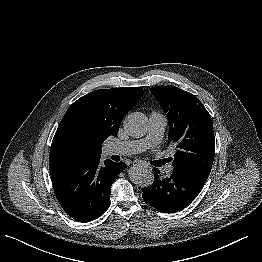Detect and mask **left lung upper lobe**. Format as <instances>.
<instances>
[{
	"instance_id": "1",
	"label": "left lung upper lobe",
	"mask_w": 262,
	"mask_h": 262,
	"mask_svg": "<svg viewBox=\"0 0 262 262\" xmlns=\"http://www.w3.org/2000/svg\"><path fill=\"white\" fill-rule=\"evenodd\" d=\"M150 92L167 113L168 141L177 147L171 158L174 170L207 180L215 154L210 114L196 96L175 86H157Z\"/></svg>"
}]
</instances>
